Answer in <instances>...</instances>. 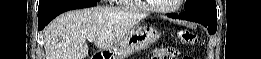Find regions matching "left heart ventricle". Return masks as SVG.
I'll use <instances>...</instances> for the list:
<instances>
[{"label":"left heart ventricle","mask_w":261,"mask_h":59,"mask_svg":"<svg viewBox=\"0 0 261 59\" xmlns=\"http://www.w3.org/2000/svg\"><path fill=\"white\" fill-rule=\"evenodd\" d=\"M152 3L155 6L169 8V7L174 6L177 3V0H155V1H152Z\"/></svg>","instance_id":"b2bd125f"}]
</instances>
